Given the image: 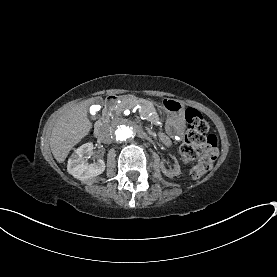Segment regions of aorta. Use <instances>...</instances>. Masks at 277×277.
Masks as SVG:
<instances>
[{
  "label": "aorta",
  "instance_id": "762f6f07",
  "mask_svg": "<svg viewBox=\"0 0 277 277\" xmlns=\"http://www.w3.org/2000/svg\"><path fill=\"white\" fill-rule=\"evenodd\" d=\"M113 139L117 143H130L139 139L144 127L140 120L136 118H117L111 123Z\"/></svg>",
  "mask_w": 277,
  "mask_h": 277
}]
</instances>
